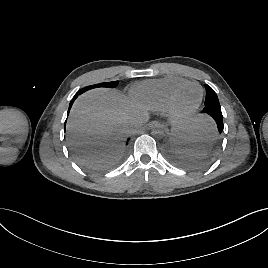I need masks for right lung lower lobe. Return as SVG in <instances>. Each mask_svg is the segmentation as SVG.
Instances as JSON below:
<instances>
[{"label": "right lung lower lobe", "mask_w": 268, "mask_h": 268, "mask_svg": "<svg viewBox=\"0 0 268 268\" xmlns=\"http://www.w3.org/2000/svg\"><path fill=\"white\" fill-rule=\"evenodd\" d=\"M80 94H82V90H79V91L75 94V97L72 99V101H71L70 104H69V110H70V108H71V106H72L74 100L76 99V97H77L78 95H80ZM69 110H68V113H69ZM128 140H129V139H128ZM127 144H128V143H127Z\"/></svg>", "instance_id": "right-lung-lower-lobe-1"}]
</instances>
